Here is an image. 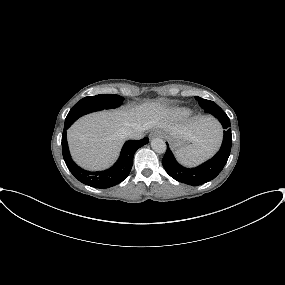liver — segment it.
I'll list each match as a JSON object with an SVG mask.
<instances>
[{
  "label": "liver",
  "instance_id": "1",
  "mask_svg": "<svg viewBox=\"0 0 285 285\" xmlns=\"http://www.w3.org/2000/svg\"><path fill=\"white\" fill-rule=\"evenodd\" d=\"M143 127L160 128L173 137L193 144L213 139L219 129L209 117H199L186 123H173L167 110L159 103H144L126 109L102 111L80 118L68 130L67 137L73 159L88 170L109 167L118 157L124 143V131Z\"/></svg>",
  "mask_w": 285,
  "mask_h": 285
}]
</instances>
